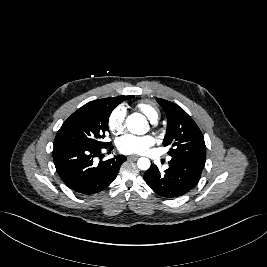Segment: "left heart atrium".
Returning <instances> with one entry per match:
<instances>
[{"instance_id": "39dd6f15", "label": "left heart atrium", "mask_w": 267, "mask_h": 267, "mask_svg": "<svg viewBox=\"0 0 267 267\" xmlns=\"http://www.w3.org/2000/svg\"><path fill=\"white\" fill-rule=\"evenodd\" d=\"M155 143V139L150 135L136 136L125 134L118 138L117 148L124 154H144Z\"/></svg>"}]
</instances>
